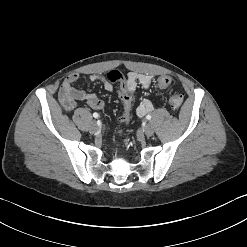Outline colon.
<instances>
[{
    "instance_id": "5ec220e1",
    "label": "colon",
    "mask_w": 247,
    "mask_h": 247,
    "mask_svg": "<svg viewBox=\"0 0 247 247\" xmlns=\"http://www.w3.org/2000/svg\"><path fill=\"white\" fill-rule=\"evenodd\" d=\"M108 80L116 86L117 99L120 103V107L124 110L122 119L128 122L131 117V111L133 108V95L130 92V85L124 81V75L113 70L108 73ZM170 84V78L168 76H161L157 79L156 85L158 89H164ZM169 106L173 110H179L183 103V95L175 93L169 98Z\"/></svg>"
}]
</instances>
